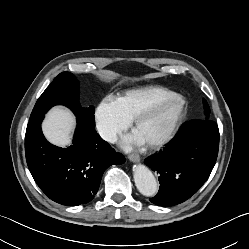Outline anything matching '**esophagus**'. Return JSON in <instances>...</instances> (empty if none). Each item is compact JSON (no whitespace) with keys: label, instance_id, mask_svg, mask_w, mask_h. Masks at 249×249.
<instances>
[{"label":"esophagus","instance_id":"1","mask_svg":"<svg viewBox=\"0 0 249 249\" xmlns=\"http://www.w3.org/2000/svg\"><path fill=\"white\" fill-rule=\"evenodd\" d=\"M128 159H129L131 162L136 163V162H139V161H140V156H139L138 154L133 153V154H130V155L128 156Z\"/></svg>","mask_w":249,"mask_h":249}]
</instances>
